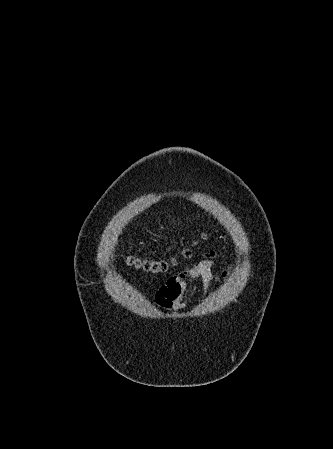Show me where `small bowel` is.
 Instances as JSON below:
<instances>
[{
    "instance_id": "c3829d8e",
    "label": "small bowel",
    "mask_w": 333,
    "mask_h": 449,
    "mask_svg": "<svg viewBox=\"0 0 333 449\" xmlns=\"http://www.w3.org/2000/svg\"><path fill=\"white\" fill-rule=\"evenodd\" d=\"M213 253L206 255V258L193 264L179 275L171 276L155 295V305L165 311H178L182 309L189 295L195 292L197 284L200 282L204 291L209 294L211 287L219 283L222 277H226L229 269L223 273L212 271Z\"/></svg>"
}]
</instances>
